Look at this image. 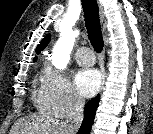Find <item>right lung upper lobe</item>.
Returning <instances> with one entry per match:
<instances>
[{"instance_id":"1","label":"right lung upper lobe","mask_w":153,"mask_h":134,"mask_svg":"<svg viewBox=\"0 0 153 134\" xmlns=\"http://www.w3.org/2000/svg\"><path fill=\"white\" fill-rule=\"evenodd\" d=\"M50 34H48L41 42L40 44L37 46L36 48V53L39 54L40 51L44 50L46 48V46L48 45V43L50 42ZM37 57L34 58V61H36Z\"/></svg>"}]
</instances>
